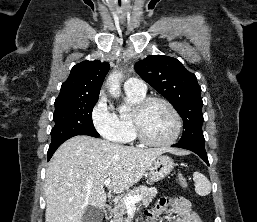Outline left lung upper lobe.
Wrapping results in <instances>:
<instances>
[{"label": "left lung upper lobe", "instance_id": "5c2ea615", "mask_svg": "<svg viewBox=\"0 0 257 222\" xmlns=\"http://www.w3.org/2000/svg\"><path fill=\"white\" fill-rule=\"evenodd\" d=\"M136 72L178 111L184 122L180 144H205L202 132L203 101L195 74L172 57L155 55L135 64Z\"/></svg>", "mask_w": 257, "mask_h": 222}]
</instances>
